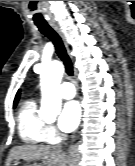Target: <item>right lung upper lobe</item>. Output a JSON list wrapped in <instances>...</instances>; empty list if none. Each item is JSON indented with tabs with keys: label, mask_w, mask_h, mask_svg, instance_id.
Returning <instances> with one entry per match:
<instances>
[{
	"label": "right lung upper lobe",
	"mask_w": 135,
	"mask_h": 166,
	"mask_svg": "<svg viewBox=\"0 0 135 166\" xmlns=\"http://www.w3.org/2000/svg\"><path fill=\"white\" fill-rule=\"evenodd\" d=\"M19 95H20V90L17 92L15 99H14V105L17 104L18 100H19Z\"/></svg>",
	"instance_id": "cb5924a9"
}]
</instances>
